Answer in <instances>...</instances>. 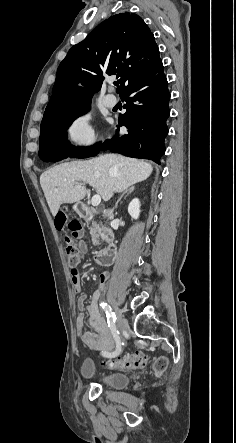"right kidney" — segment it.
Wrapping results in <instances>:
<instances>
[{"instance_id":"obj_1","label":"right kidney","mask_w":236,"mask_h":443,"mask_svg":"<svg viewBox=\"0 0 236 443\" xmlns=\"http://www.w3.org/2000/svg\"><path fill=\"white\" fill-rule=\"evenodd\" d=\"M128 213L133 219H138L140 214V201L135 198L128 205Z\"/></svg>"}]
</instances>
